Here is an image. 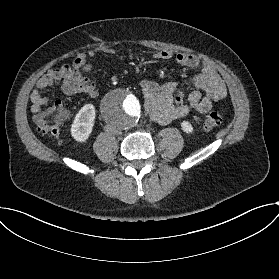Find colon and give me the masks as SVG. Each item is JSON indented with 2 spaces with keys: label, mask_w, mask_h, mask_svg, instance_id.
<instances>
[{
  "label": "colon",
  "mask_w": 279,
  "mask_h": 279,
  "mask_svg": "<svg viewBox=\"0 0 279 279\" xmlns=\"http://www.w3.org/2000/svg\"><path fill=\"white\" fill-rule=\"evenodd\" d=\"M72 117V108L68 104H57L41 109L35 114V122L38 130L45 135L57 137L63 122ZM222 122L218 112L208 114L203 121L202 127L209 131L215 129Z\"/></svg>",
  "instance_id": "1"
}]
</instances>
